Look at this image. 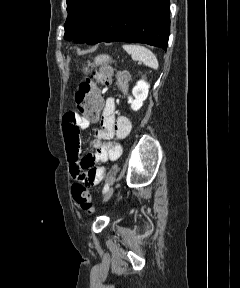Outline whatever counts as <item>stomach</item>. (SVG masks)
Wrapping results in <instances>:
<instances>
[{
    "label": "stomach",
    "instance_id": "0dacf381",
    "mask_svg": "<svg viewBox=\"0 0 240 288\" xmlns=\"http://www.w3.org/2000/svg\"><path fill=\"white\" fill-rule=\"evenodd\" d=\"M111 62V58L108 55H98L94 60V65L106 64ZM89 67H85L83 70L88 72Z\"/></svg>",
    "mask_w": 240,
    "mask_h": 288
}]
</instances>
